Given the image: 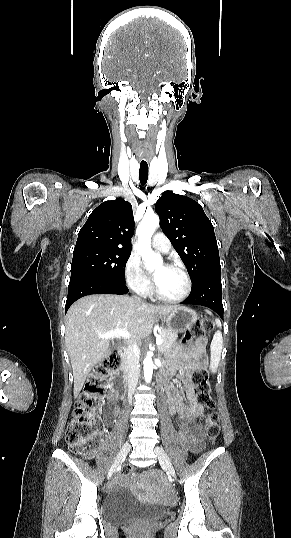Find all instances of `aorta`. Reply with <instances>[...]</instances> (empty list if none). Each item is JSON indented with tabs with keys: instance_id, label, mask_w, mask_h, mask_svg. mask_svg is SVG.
Wrapping results in <instances>:
<instances>
[{
	"instance_id": "aorta-1",
	"label": "aorta",
	"mask_w": 291,
	"mask_h": 538,
	"mask_svg": "<svg viewBox=\"0 0 291 538\" xmlns=\"http://www.w3.org/2000/svg\"><path fill=\"white\" fill-rule=\"evenodd\" d=\"M160 219L157 214H145L137 232L139 252L145 261V266L148 270H153L155 267L163 264V259L160 254H155L151 248V237L155 229L159 226ZM144 378L146 383H150L153 375L154 364L151 353L148 352L144 361Z\"/></svg>"
}]
</instances>
